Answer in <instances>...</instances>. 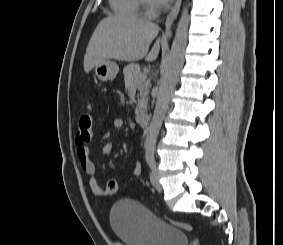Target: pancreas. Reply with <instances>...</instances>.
Masks as SVG:
<instances>
[{
	"mask_svg": "<svg viewBox=\"0 0 283 245\" xmlns=\"http://www.w3.org/2000/svg\"><path fill=\"white\" fill-rule=\"evenodd\" d=\"M141 74L142 73L140 66L135 63H131L125 66L123 69L126 90L130 92L133 88H137L139 91L137 99V108L135 110L136 114H139V112L143 111L148 103L150 82L146 80V78L140 81L139 76Z\"/></svg>",
	"mask_w": 283,
	"mask_h": 245,
	"instance_id": "pancreas-1",
	"label": "pancreas"
}]
</instances>
